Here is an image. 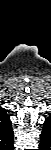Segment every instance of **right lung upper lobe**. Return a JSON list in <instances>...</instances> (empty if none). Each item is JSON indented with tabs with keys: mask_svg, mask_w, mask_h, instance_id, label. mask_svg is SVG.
Wrapping results in <instances>:
<instances>
[{
	"mask_svg": "<svg viewBox=\"0 0 51 150\" xmlns=\"http://www.w3.org/2000/svg\"><path fill=\"white\" fill-rule=\"evenodd\" d=\"M13 143L11 121L4 108H0V149L9 150Z\"/></svg>",
	"mask_w": 51,
	"mask_h": 150,
	"instance_id": "1",
	"label": "right lung upper lobe"
}]
</instances>
